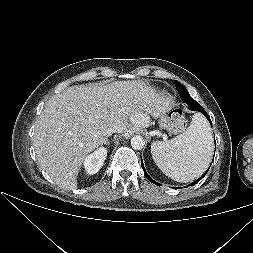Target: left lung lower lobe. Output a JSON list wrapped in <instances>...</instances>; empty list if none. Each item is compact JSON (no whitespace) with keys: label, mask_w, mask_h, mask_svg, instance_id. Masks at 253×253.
I'll list each match as a JSON object with an SVG mask.
<instances>
[{"label":"left lung lower lobe","mask_w":253,"mask_h":253,"mask_svg":"<svg viewBox=\"0 0 253 253\" xmlns=\"http://www.w3.org/2000/svg\"><path fill=\"white\" fill-rule=\"evenodd\" d=\"M190 110H194V111H199V112H201L202 114L205 115V117H206V118L209 120V122L211 123V120H210V118H209L207 112L202 108V106H201L198 102H196L194 106L190 107ZM211 124H212V123H211ZM214 155H215V154H214ZM213 159H214V158H213ZM141 166H142V169H143V171H144V174H145L146 178H147L150 182H152V183H154V184L160 186L159 183H157L156 181H154V180L147 174V172H146V170H145V168H144L142 159H141ZM207 171H208V170H207ZM207 171H206L199 179H197L195 182H193L191 185H195L196 183H198V182L206 175ZM188 186H189V185H188Z\"/></svg>","instance_id":"left-lung-lower-lobe-1"}]
</instances>
